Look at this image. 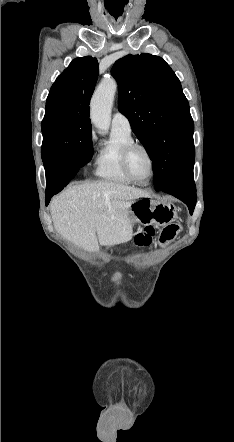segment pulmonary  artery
Returning <instances> with one entry per match:
<instances>
[{
	"instance_id": "1",
	"label": "pulmonary artery",
	"mask_w": 234,
	"mask_h": 442,
	"mask_svg": "<svg viewBox=\"0 0 234 442\" xmlns=\"http://www.w3.org/2000/svg\"><path fill=\"white\" fill-rule=\"evenodd\" d=\"M112 129L131 132V125L128 118L121 112H115L112 117Z\"/></svg>"
}]
</instances>
